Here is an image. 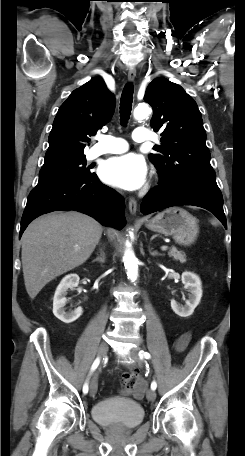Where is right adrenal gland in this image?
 Segmentation results:
<instances>
[{
    "mask_svg": "<svg viewBox=\"0 0 245 456\" xmlns=\"http://www.w3.org/2000/svg\"><path fill=\"white\" fill-rule=\"evenodd\" d=\"M95 261H99L100 263H104L105 261V253L102 249H100V255L95 259Z\"/></svg>",
    "mask_w": 245,
    "mask_h": 456,
    "instance_id": "2a0ac1e0",
    "label": "right adrenal gland"
}]
</instances>
